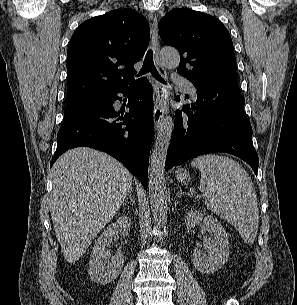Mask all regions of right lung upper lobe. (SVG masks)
<instances>
[{
  "label": "right lung upper lobe",
  "instance_id": "obj_1",
  "mask_svg": "<svg viewBox=\"0 0 297 305\" xmlns=\"http://www.w3.org/2000/svg\"><path fill=\"white\" fill-rule=\"evenodd\" d=\"M150 39L146 18L133 9H119L83 22L67 51L66 103L110 94L133 83L134 64Z\"/></svg>",
  "mask_w": 297,
  "mask_h": 305
}]
</instances>
